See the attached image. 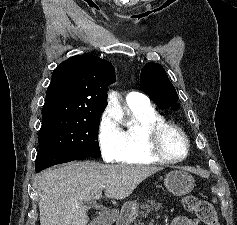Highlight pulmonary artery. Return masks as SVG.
<instances>
[{
    "mask_svg": "<svg viewBox=\"0 0 237 225\" xmlns=\"http://www.w3.org/2000/svg\"><path fill=\"white\" fill-rule=\"evenodd\" d=\"M126 102H127L128 106H132V105H136L139 103H146V102H148V99L143 94H141L139 92L132 91V92L128 93V95L126 96Z\"/></svg>",
    "mask_w": 237,
    "mask_h": 225,
    "instance_id": "e3ab8cb5",
    "label": "pulmonary artery"
}]
</instances>
